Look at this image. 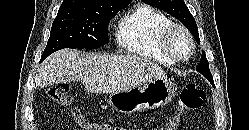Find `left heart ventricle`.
<instances>
[{
	"label": "left heart ventricle",
	"mask_w": 249,
	"mask_h": 130,
	"mask_svg": "<svg viewBox=\"0 0 249 130\" xmlns=\"http://www.w3.org/2000/svg\"><path fill=\"white\" fill-rule=\"evenodd\" d=\"M172 50L179 57H186L190 52V43L182 33H177L172 40Z\"/></svg>",
	"instance_id": "left-heart-ventricle-1"
}]
</instances>
